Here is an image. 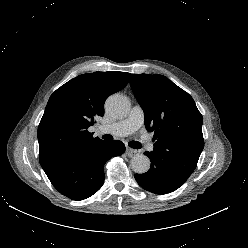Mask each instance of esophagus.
<instances>
[{"label": "esophagus", "instance_id": "1", "mask_svg": "<svg viewBox=\"0 0 248 248\" xmlns=\"http://www.w3.org/2000/svg\"><path fill=\"white\" fill-rule=\"evenodd\" d=\"M126 152H127L128 156L132 157V156H134V155H136L138 153V150H135V149H132V148L128 147L126 149Z\"/></svg>", "mask_w": 248, "mask_h": 248}]
</instances>
